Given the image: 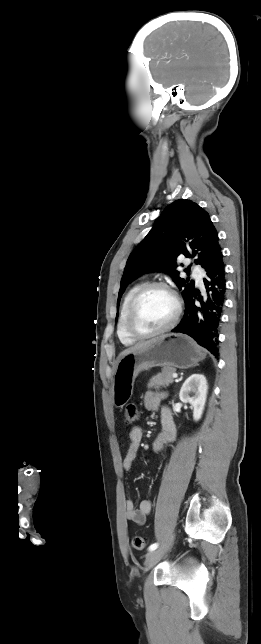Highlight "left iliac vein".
Here are the masks:
<instances>
[{
  "label": "left iliac vein",
  "instance_id": "4c4485c4",
  "mask_svg": "<svg viewBox=\"0 0 261 644\" xmlns=\"http://www.w3.org/2000/svg\"><path fill=\"white\" fill-rule=\"evenodd\" d=\"M173 539H174V536L170 538V540L166 543L165 546L159 549H155L147 555L145 560L146 571L154 567L161 560V558L169 551V549L173 544Z\"/></svg>",
  "mask_w": 261,
  "mask_h": 644
}]
</instances>
